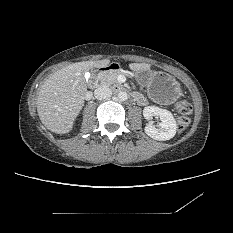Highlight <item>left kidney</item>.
<instances>
[{
  "label": "left kidney",
  "mask_w": 233,
  "mask_h": 233,
  "mask_svg": "<svg viewBox=\"0 0 233 233\" xmlns=\"http://www.w3.org/2000/svg\"><path fill=\"white\" fill-rule=\"evenodd\" d=\"M143 116L146 120L153 117H160L159 128H155L152 122L145 126V133L158 141H166L173 138L176 134L177 124L172 113L166 109L156 106H147L143 109Z\"/></svg>",
  "instance_id": "obj_1"
}]
</instances>
